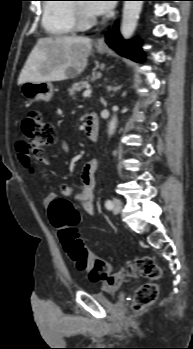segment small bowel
I'll use <instances>...</instances> for the list:
<instances>
[{
  "instance_id": "small-bowel-1",
  "label": "small bowel",
  "mask_w": 193,
  "mask_h": 349,
  "mask_svg": "<svg viewBox=\"0 0 193 349\" xmlns=\"http://www.w3.org/2000/svg\"><path fill=\"white\" fill-rule=\"evenodd\" d=\"M61 150L68 153L70 150L69 144L62 141L60 144ZM18 159L21 165L28 171L33 172V165L30 156L26 152L23 141H19L16 145ZM98 169V162L92 159L86 162L81 170L80 178L81 185L72 187L66 184L60 186V195L55 193L48 194L44 200V206L48 207L56 198L74 197L80 202L83 211L88 215L94 214V197H95V175ZM137 271L133 264L127 262L125 266L117 272L111 273L108 279L105 280L104 287L114 290L119 287L127 278L136 277Z\"/></svg>"
}]
</instances>
